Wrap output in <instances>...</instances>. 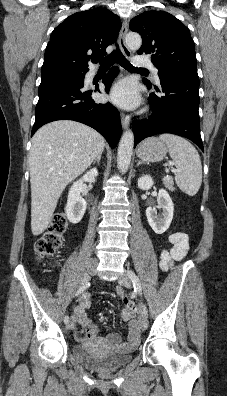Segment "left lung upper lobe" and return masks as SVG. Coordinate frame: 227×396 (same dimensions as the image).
<instances>
[{
    "mask_svg": "<svg viewBox=\"0 0 227 396\" xmlns=\"http://www.w3.org/2000/svg\"><path fill=\"white\" fill-rule=\"evenodd\" d=\"M130 29L142 36L138 54H152L159 77L172 74L198 79L195 45L189 29L173 15L147 11L131 20Z\"/></svg>",
    "mask_w": 227,
    "mask_h": 396,
    "instance_id": "left-lung-upper-lobe-1",
    "label": "left lung upper lobe"
}]
</instances>
